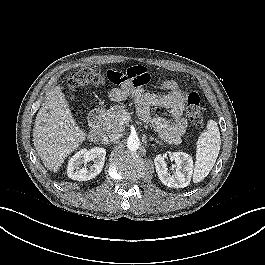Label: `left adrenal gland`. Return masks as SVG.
<instances>
[{
	"label": "left adrenal gland",
	"instance_id": "a2214340",
	"mask_svg": "<svg viewBox=\"0 0 265 265\" xmlns=\"http://www.w3.org/2000/svg\"><path fill=\"white\" fill-rule=\"evenodd\" d=\"M150 141H154V142H156V143H158V144L162 145V143H161L159 140H157V139L150 138Z\"/></svg>",
	"mask_w": 265,
	"mask_h": 265
}]
</instances>
